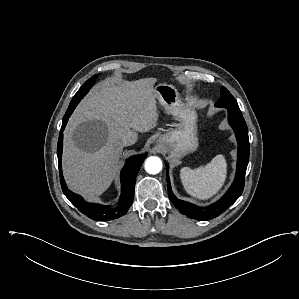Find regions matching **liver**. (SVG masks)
Instances as JSON below:
<instances>
[{
  "instance_id": "6515ba94",
  "label": "liver",
  "mask_w": 299,
  "mask_h": 299,
  "mask_svg": "<svg viewBox=\"0 0 299 299\" xmlns=\"http://www.w3.org/2000/svg\"><path fill=\"white\" fill-rule=\"evenodd\" d=\"M156 81H106L79 104L64 134L63 172L71 190L87 200L100 196L114 178L124 136L157 126Z\"/></svg>"
}]
</instances>
